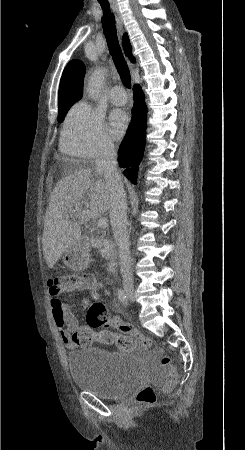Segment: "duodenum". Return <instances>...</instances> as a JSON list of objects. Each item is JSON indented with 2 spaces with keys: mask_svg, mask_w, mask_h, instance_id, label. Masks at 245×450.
<instances>
[{
  "mask_svg": "<svg viewBox=\"0 0 245 450\" xmlns=\"http://www.w3.org/2000/svg\"><path fill=\"white\" fill-rule=\"evenodd\" d=\"M98 245L108 246L112 252L110 261L108 263V269L110 272L116 273L119 270V259L116 254V244L113 239L110 238V236L106 239H97V238H90L86 236H80L77 239L76 247L79 250V252L82 254V257H80V261H83V256L88 251L92 250L94 247Z\"/></svg>",
  "mask_w": 245,
  "mask_h": 450,
  "instance_id": "obj_1",
  "label": "duodenum"
}]
</instances>
